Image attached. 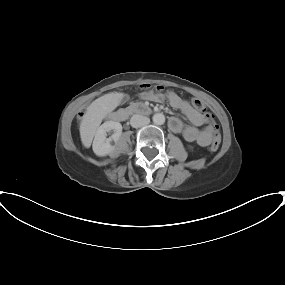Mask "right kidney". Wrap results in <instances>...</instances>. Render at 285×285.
Listing matches in <instances>:
<instances>
[{
  "label": "right kidney",
  "instance_id": "ca27d5eb",
  "mask_svg": "<svg viewBox=\"0 0 285 285\" xmlns=\"http://www.w3.org/2000/svg\"><path fill=\"white\" fill-rule=\"evenodd\" d=\"M111 130L114 134L110 138H106L107 132ZM122 134V125L119 122L107 121L103 123L96 131L92 148L97 156L103 157L111 155L115 151V147L111 145V141L117 142Z\"/></svg>",
  "mask_w": 285,
  "mask_h": 285
}]
</instances>
